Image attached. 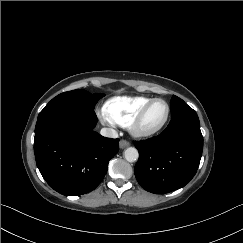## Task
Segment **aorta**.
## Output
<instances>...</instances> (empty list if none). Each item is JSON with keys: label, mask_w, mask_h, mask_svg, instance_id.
<instances>
[{"label": "aorta", "mask_w": 243, "mask_h": 243, "mask_svg": "<svg viewBox=\"0 0 243 243\" xmlns=\"http://www.w3.org/2000/svg\"><path fill=\"white\" fill-rule=\"evenodd\" d=\"M124 157L128 162H135L139 157L138 150L134 147H129L124 151Z\"/></svg>", "instance_id": "obj_1"}]
</instances>
